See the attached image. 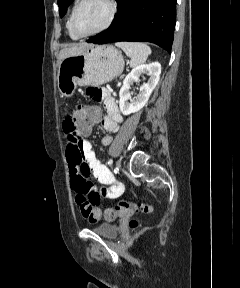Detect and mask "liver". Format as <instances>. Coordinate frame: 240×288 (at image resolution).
<instances>
[{
	"label": "liver",
	"instance_id": "liver-1",
	"mask_svg": "<svg viewBox=\"0 0 240 288\" xmlns=\"http://www.w3.org/2000/svg\"><path fill=\"white\" fill-rule=\"evenodd\" d=\"M88 46H90V44L80 43V44H76V45L69 47V48H64L60 51L59 58H60V60H63L66 57L78 54L81 51H83L85 48H87Z\"/></svg>",
	"mask_w": 240,
	"mask_h": 288
}]
</instances>
